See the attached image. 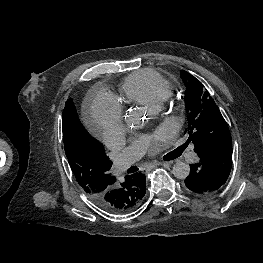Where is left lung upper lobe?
<instances>
[{
    "instance_id": "1",
    "label": "left lung upper lobe",
    "mask_w": 263,
    "mask_h": 263,
    "mask_svg": "<svg viewBox=\"0 0 263 263\" xmlns=\"http://www.w3.org/2000/svg\"><path fill=\"white\" fill-rule=\"evenodd\" d=\"M181 78L186 87L185 107L188 127L185 133L200 153L222 142H231L228 125L209 92L190 73L182 70Z\"/></svg>"
}]
</instances>
